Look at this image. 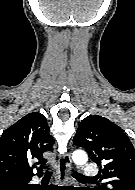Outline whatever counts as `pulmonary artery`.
I'll use <instances>...</instances> for the list:
<instances>
[{"label": "pulmonary artery", "instance_id": "pulmonary-artery-1", "mask_svg": "<svg viewBox=\"0 0 135 190\" xmlns=\"http://www.w3.org/2000/svg\"><path fill=\"white\" fill-rule=\"evenodd\" d=\"M98 170L95 165L87 164L83 168V175L87 178H93L97 175Z\"/></svg>", "mask_w": 135, "mask_h": 190}]
</instances>
